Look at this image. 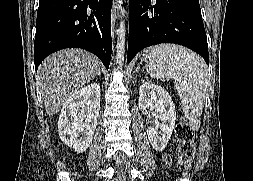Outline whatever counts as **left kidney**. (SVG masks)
Listing matches in <instances>:
<instances>
[{
    "label": "left kidney",
    "mask_w": 253,
    "mask_h": 181,
    "mask_svg": "<svg viewBox=\"0 0 253 181\" xmlns=\"http://www.w3.org/2000/svg\"><path fill=\"white\" fill-rule=\"evenodd\" d=\"M138 106L149 109L153 124L147 128L148 139L156 151L168 144L175 127L176 109L169 93L159 85L145 82L139 89Z\"/></svg>",
    "instance_id": "1"
}]
</instances>
